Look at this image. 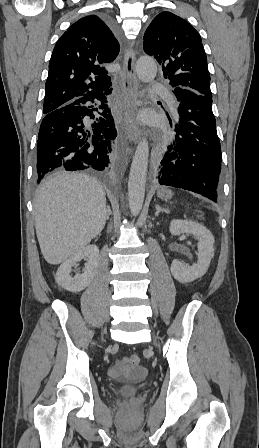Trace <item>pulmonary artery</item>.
<instances>
[{
    "mask_svg": "<svg viewBox=\"0 0 259 448\" xmlns=\"http://www.w3.org/2000/svg\"><path fill=\"white\" fill-rule=\"evenodd\" d=\"M164 99H165V101H166L169 105H171L174 109H176V107H177V102H176L175 98H174L172 95L165 96Z\"/></svg>",
    "mask_w": 259,
    "mask_h": 448,
    "instance_id": "obj_1",
    "label": "pulmonary artery"
}]
</instances>
